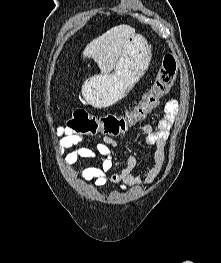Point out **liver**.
Returning a JSON list of instances; mask_svg holds the SVG:
<instances>
[{
	"label": "liver",
	"mask_w": 221,
	"mask_h": 263,
	"mask_svg": "<svg viewBox=\"0 0 221 263\" xmlns=\"http://www.w3.org/2000/svg\"><path fill=\"white\" fill-rule=\"evenodd\" d=\"M129 25H118L93 39L84 49L83 58H93L102 73L115 68L128 39L134 34Z\"/></svg>",
	"instance_id": "liver-1"
}]
</instances>
